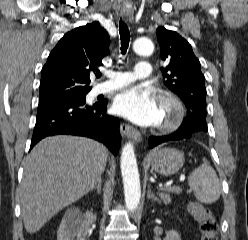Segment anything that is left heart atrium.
<instances>
[{
  "label": "left heart atrium",
  "instance_id": "39dd6f15",
  "mask_svg": "<svg viewBox=\"0 0 248 240\" xmlns=\"http://www.w3.org/2000/svg\"><path fill=\"white\" fill-rule=\"evenodd\" d=\"M114 110L120 116L142 126L158 125L162 120L156 94L139 86L119 93L114 101Z\"/></svg>",
  "mask_w": 248,
  "mask_h": 240
}]
</instances>
